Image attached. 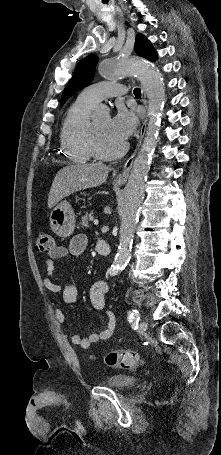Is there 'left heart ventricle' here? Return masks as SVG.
<instances>
[{
    "instance_id": "left-heart-ventricle-1",
    "label": "left heart ventricle",
    "mask_w": 221,
    "mask_h": 455,
    "mask_svg": "<svg viewBox=\"0 0 221 455\" xmlns=\"http://www.w3.org/2000/svg\"><path fill=\"white\" fill-rule=\"evenodd\" d=\"M93 124L97 134V142L102 151H113L124 142L113 133L109 116L100 117Z\"/></svg>"
}]
</instances>
